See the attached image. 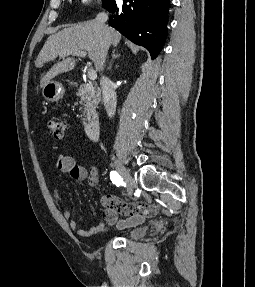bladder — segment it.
Returning <instances> with one entry per match:
<instances>
[{
    "label": "bladder",
    "mask_w": 255,
    "mask_h": 287,
    "mask_svg": "<svg viewBox=\"0 0 255 287\" xmlns=\"http://www.w3.org/2000/svg\"><path fill=\"white\" fill-rule=\"evenodd\" d=\"M145 229L143 227H132L125 232V236L131 239H137L145 234Z\"/></svg>",
    "instance_id": "31cf9c89"
}]
</instances>
